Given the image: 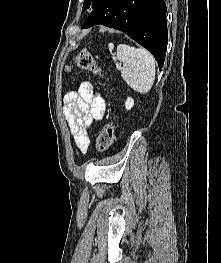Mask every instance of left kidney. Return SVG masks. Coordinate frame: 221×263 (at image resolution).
I'll list each match as a JSON object with an SVG mask.
<instances>
[{
    "instance_id": "5707ae66",
    "label": "left kidney",
    "mask_w": 221,
    "mask_h": 263,
    "mask_svg": "<svg viewBox=\"0 0 221 263\" xmlns=\"http://www.w3.org/2000/svg\"><path fill=\"white\" fill-rule=\"evenodd\" d=\"M134 105V100L131 97H128L125 102V107L127 110H130Z\"/></svg>"
}]
</instances>
